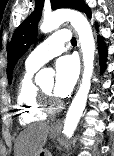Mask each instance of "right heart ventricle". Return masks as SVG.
Returning a JSON list of instances; mask_svg holds the SVG:
<instances>
[{
	"label": "right heart ventricle",
	"instance_id": "right-heart-ventricle-1",
	"mask_svg": "<svg viewBox=\"0 0 114 156\" xmlns=\"http://www.w3.org/2000/svg\"><path fill=\"white\" fill-rule=\"evenodd\" d=\"M38 68L26 63L17 84L16 109L20 124L23 126L41 121L46 117L40 105L39 88L33 80Z\"/></svg>",
	"mask_w": 114,
	"mask_h": 156
}]
</instances>
